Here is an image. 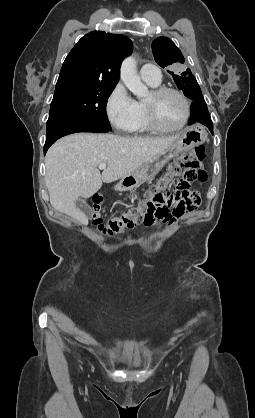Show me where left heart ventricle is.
Listing matches in <instances>:
<instances>
[{
  "mask_svg": "<svg viewBox=\"0 0 255 418\" xmlns=\"http://www.w3.org/2000/svg\"><path fill=\"white\" fill-rule=\"evenodd\" d=\"M151 101H153L152 94L146 99V102ZM156 111L161 125L175 127L184 119L185 106L179 96L173 93H167L156 100Z\"/></svg>",
  "mask_w": 255,
  "mask_h": 418,
  "instance_id": "obj_1",
  "label": "left heart ventricle"
}]
</instances>
